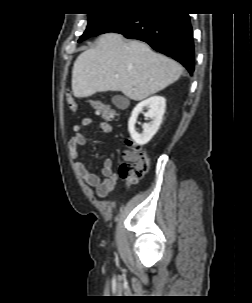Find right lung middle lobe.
Returning <instances> with one entry per match:
<instances>
[{
    "mask_svg": "<svg viewBox=\"0 0 252 303\" xmlns=\"http://www.w3.org/2000/svg\"><path fill=\"white\" fill-rule=\"evenodd\" d=\"M125 11L119 12H107V13H92L88 14V25L86 31L80 37L78 42L101 34V32L112 22H114L119 16H121Z\"/></svg>",
    "mask_w": 252,
    "mask_h": 303,
    "instance_id": "1",
    "label": "right lung middle lobe"
}]
</instances>
